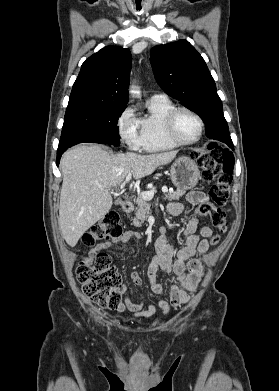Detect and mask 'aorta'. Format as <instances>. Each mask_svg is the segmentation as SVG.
<instances>
[{
	"mask_svg": "<svg viewBox=\"0 0 279 391\" xmlns=\"http://www.w3.org/2000/svg\"><path fill=\"white\" fill-rule=\"evenodd\" d=\"M131 92H132V93H139V92H138V91H136V90H132Z\"/></svg>",
	"mask_w": 279,
	"mask_h": 391,
	"instance_id": "762f6f07",
	"label": "aorta"
}]
</instances>
